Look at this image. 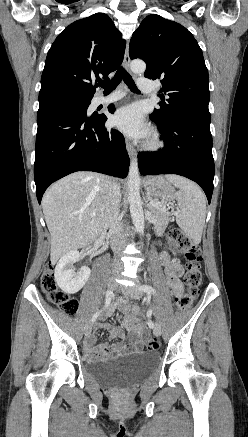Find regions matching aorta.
Here are the masks:
<instances>
[{
    "label": "aorta",
    "instance_id": "1",
    "mask_svg": "<svg viewBox=\"0 0 248 437\" xmlns=\"http://www.w3.org/2000/svg\"><path fill=\"white\" fill-rule=\"evenodd\" d=\"M131 71L136 74H142L146 70V64L141 60H134L130 64ZM128 201L130 204V214L135 229L140 235H144L145 223L140 197V173L137 158H133L128 173Z\"/></svg>",
    "mask_w": 248,
    "mask_h": 437
}]
</instances>
